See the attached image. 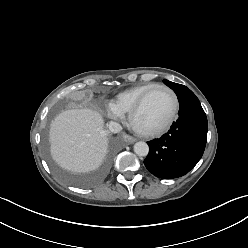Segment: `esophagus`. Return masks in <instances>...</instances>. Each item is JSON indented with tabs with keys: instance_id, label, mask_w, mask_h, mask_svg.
I'll return each mask as SVG.
<instances>
[{
	"instance_id": "1",
	"label": "esophagus",
	"mask_w": 248,
	"mask_h": 248,
	"mask_svg": "<svg viewBox=\"0 0 248 248\" xmlns=\"http://www.w3.org/2000/svg\"><path fill=\"white\" fill-rule=\"evenodd\" d=\"M124 139L128 144H133L134 142H136V139L132 136H129V135H125Z\"/></svg>"
}]
</instances>
